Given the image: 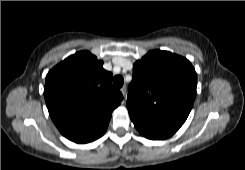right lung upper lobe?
I'll return each mask as SVG.
<instances>
[{
  "mask_svg": "<svg viewBox=\"0 0 245 170\" xmlns=\"http://www.w3.org/2000/svg\"><path fill=\"white\" fill-rule=\"evenodd\" d=\"M88 51L77 52L50 70L44 97L59 131L76 143H88L107 130L123 96L111 84L112 73Z\"/></svg>",
  "mask_w": 245,
  "mask_h": 170,
  "instance_id": "right-lung-upper-lobe-1",
  "label": "right lung upper lobe"
}]
</instances>
